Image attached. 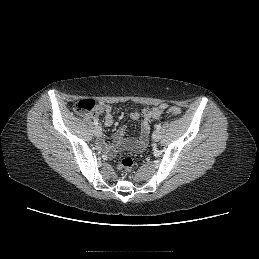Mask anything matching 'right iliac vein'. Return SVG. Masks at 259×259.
<instances>
[{
    "instance_id": "1",
    "label": "right iliac vein",
    "mask_w": 259,
    "mask_h": 259,
    "mask_svg": "<svg viewBox=\"0 0 259 259\" xmlns=\"http://www.w3.org/2000/svg\"><path fill=\"white\" fill-rule=\"evenodd\" d=\"M93 132H94V134H95L96 136L99 137V136H101V134H102V129H101L100 126H96V127L94 128Z\"/></svg>"
}]
</instances>
